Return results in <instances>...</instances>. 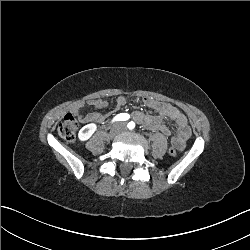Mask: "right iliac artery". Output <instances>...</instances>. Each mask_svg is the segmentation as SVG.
<instances>
[{"label":"right iliac artery","mask_w":250,"mask_h":250,"mask_svg":"<svg viewBox=\"0 0 250 250\" xmlns=\"http://www.w3.org/2000/svg\"><path fill=\"white\" fill-rule=\"evenodd\" d=\"M130 118L129 114L127 113H120L117 116L114 117V119L112 120L114 121H125L128 120Z\"/></svg>","instance_id":"82829eb1"}]
</instances>
